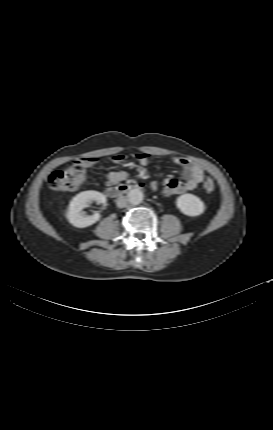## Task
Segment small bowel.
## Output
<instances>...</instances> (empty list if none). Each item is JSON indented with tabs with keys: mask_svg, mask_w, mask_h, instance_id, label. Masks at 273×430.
<instances>
[{
	"mask_svg": "<svg viewBox=\"0 0 273 430\" xmlns=\"http://www.w3.org/2000/svg\"><path fill=\"white\" fill-rule=\"evenodd\" d=\"M136 158L141 166L145 167L150 163V155L147 153H139L137 154ZM124 160L125 156L121 154L112 157V162L115 165L122 164ZM172 161L180 167L184 181H178L174 178H167L162 183L153 182L151 186L154 190H158L159 187L162 186L163 195L165 197H169L175 194H181L186 191L193 190L203 181L205 172L200 165L192 163L189 160L178 156L173 157ZM79 163L86 168L89 165L95 164L96 159L82 157L79 160ZM127 177L128 174L126 171H111L107 173L106 180L109 185H114L126 180Z\"/></svg>",
	"mask_w": 273,
	"mask_h": 430,
	"instance_id": "1",
	"label": "small bowel"
}]
</instances>
